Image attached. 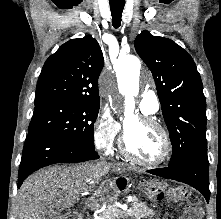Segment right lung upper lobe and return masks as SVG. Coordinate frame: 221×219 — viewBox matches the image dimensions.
I'll list each match as a JSON object with an SVG mask.
<instances>
[{
  "label": "right lung upper lobe",
  "mask_w": 221,
  "mask_h": 219,
  "mask_svg": "<svg viewBox=\"0 0 221 219\" xmlns=\"http://www.w3.org/2000/svg\"><path fill=\"white\" fill-rule=\"evenodd\" d=\"M104 58L98 42L87 35L64 43L45 62L35 103L48 100L100 103L98 78Z\"/></svg>",
  "instance_id": "1"
}]
</instances>
